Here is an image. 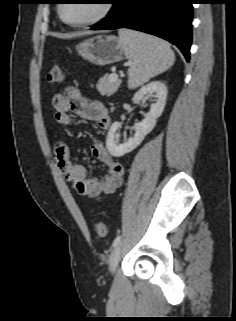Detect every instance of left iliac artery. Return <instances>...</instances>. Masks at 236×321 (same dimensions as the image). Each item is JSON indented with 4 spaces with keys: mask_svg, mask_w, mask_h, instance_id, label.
I'll return each instance as SVG.
<instances>
[{
    "mask_svg": "<svg viewBox=\"0 0 236 321\" xmlns=\"http://www.w3.org/2000/svg\"><path fill=\"white\" fill-rule=\"evenodd\" d=\"M120 239H121V236H117V237L114 239L112 246L115 247L116 245H118L119 242H120Z\"/></svg>",
    "mask_w": 236,
    "mask_h": 321,
    "instance_id": "obj_1",
    "label": "left iliac artery"
}]
</instances>
